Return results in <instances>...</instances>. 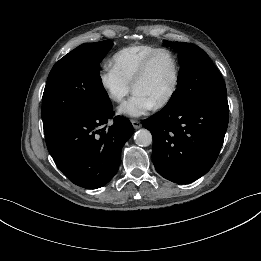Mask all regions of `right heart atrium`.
<instances>
[{"label": "right heart atrium", "mask_w": 261, "mask_h": 261, "mask_svg": "<svg viewBox=\"0 0 261 261\" xmlns=\"http://www.w3.org/2000/svg\"><path fill=\"white\" fill-rule=\"evenodd\" d=\"M98 81L107 97L115 103L122 102L131 90V84L111 67L105 66L99 71Z\"/></svg>", "instance_id": "obj_1"}]
</instances>
